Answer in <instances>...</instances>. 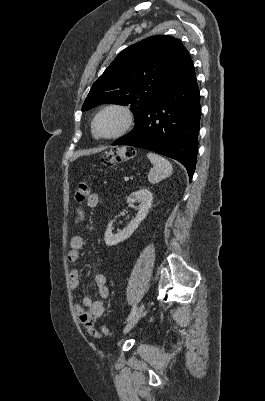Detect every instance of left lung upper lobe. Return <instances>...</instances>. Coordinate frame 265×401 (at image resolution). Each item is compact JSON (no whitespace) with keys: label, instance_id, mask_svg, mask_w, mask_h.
<instances>
[{"label":"left lung upper lobe","instance_id":"obj_1","mask_svg":"<svg viewBox=\"0 0 265 401\" xmlns=\"http://www.w3.org/2000/svg\"><path fill=\"white\" fill-rule=\"evenodd\" d=\"M190 61L174 37L156 35L137 42L120 52L94 82L82 111L103 103L130 104L138 120Z\"/></svg>","mask_w":265,"mask_h":401}]
</instances>
